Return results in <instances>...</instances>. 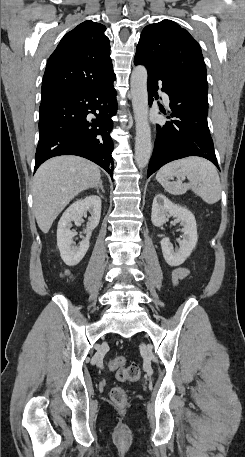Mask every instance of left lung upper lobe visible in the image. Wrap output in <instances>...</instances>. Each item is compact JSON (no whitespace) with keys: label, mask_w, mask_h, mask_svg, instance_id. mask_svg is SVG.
Here are the masks:
<instances>
[{"label":"left lung upper lobe","mask_w":245,"mask_h":457,"mask_svg":"<svg viewBox=\"0 0 245 457\" xmlns=\"http://www.w3.org/2000/svg\"><path fill=\"white\" fill-rule=\"evenodd\" d=\"M135 57L157 66L181 86L184 99L208 107L206 66L197 41L171 20L146 26Z\"/></svg>","instance_id":"5c2ea615"}]
</instances>
